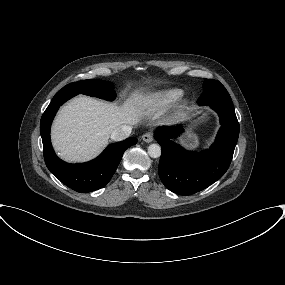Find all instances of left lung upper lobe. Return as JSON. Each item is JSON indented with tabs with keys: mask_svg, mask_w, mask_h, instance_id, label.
Instances as JSON below:
<instances>
[{
	"mask_svg": "<svg viewBox=\"0 0 285 285\" xmlns=\"http://www.w3.org/2000/svg\"><path fill=\"white\" fill-rule=\"evenodd\" d=\"M199 105H223L233 108L231 97L225 87L217 80L205 79Z\"/></svg>",
	"mask_w": 285,
	"mask_h": 285,
	"instance_id": "5c2ea615",
	"label": "left lung upper lobe"
}]
</instances>
